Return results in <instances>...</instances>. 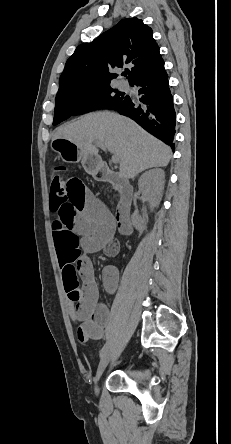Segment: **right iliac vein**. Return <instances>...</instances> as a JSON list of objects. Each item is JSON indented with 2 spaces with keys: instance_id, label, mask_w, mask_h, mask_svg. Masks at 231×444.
Masks as SVG:
<instances>
[{
  "instance_id": "63e3f726",
  "label": "right iliac vein",
  "mask_w": 231,
  "mask_h": 444,
  "mask_svg": "<svg viewBox=\"0 0 231 444\" xmlns=\"http://www.w3.org/2000/svg\"><path fill=\"white\" fill-rule=\"evenodd\" d=\"M110 358H111V351L110 350L106 351L103 354V356L101 357V360H100V363L98 365V369H97V372H96V376L94 378L95 391L96 392H98L97 384H98V382H99V380H100V378H101V376H102V374H103V372H104V370H105V368H106Z\"/></svg>"
}]
</instances>
